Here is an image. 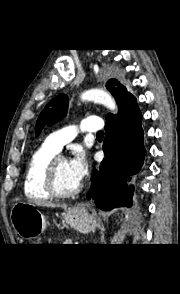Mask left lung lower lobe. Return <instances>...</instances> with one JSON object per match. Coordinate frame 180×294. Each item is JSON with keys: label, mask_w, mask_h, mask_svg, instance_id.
Wrapping results in <instances>:
<instances>
[{"label": "left lung lower lobe", "mask_w": 180, "mask_h": 294, "mask_svg": "<svg viewBox=\"0 0 180 294\" xmlns=\"http://www.w3.org/2000/svg\"><path fill=\"white\" fill-rule=\"evenodd\" d=\"M142 115L134 96L106 122L103 142L105 158L92 177L88 198L102 210L132 206L135 178L146 154L143 145Z\"/></svg>", "instance_id": "left-lung-lower-lobe-1"}]
</instances>
